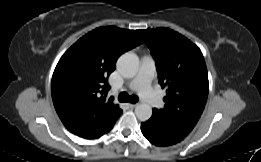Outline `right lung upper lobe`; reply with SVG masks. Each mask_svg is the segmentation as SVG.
<instances>
[{
  "label": "right lung upper lobe",
  "instance_id": "cb5924a9",
  "mask_svg": "<svg viewBox=\"0 0 261 162\" xmlns=\"http://www.w3.org/2000/svg\"><path fill=\"white\" fill-rule=\"evenodd\" d=\"M138 31L99 27L80 38L59 60L51 90L54 107L75 135L94 139L107 133L122 114L107 78L119 56L141 44Z\"/></svg>",
  "mask_w": 261,
  "mask_h": 162
}]
</instances>
